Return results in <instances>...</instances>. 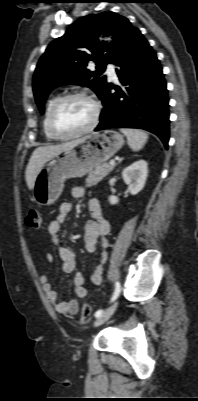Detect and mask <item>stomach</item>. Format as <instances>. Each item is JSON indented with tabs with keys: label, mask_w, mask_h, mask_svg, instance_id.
<instances>
[{
	"label": "stomach",
	"mask_w": 198,
	"mask_h": 401,
	"mask_svg": "<svg viewBox=\"0 0 198 401\" xmlns=\"http://www.w3.org/2000/svg\"><path fill=\"white\" fill-rule=\"evenodd\" d=\"M124 144L115 130L91 133L50 158L39 171L34 184V200L38 205L53 204L61 195L64 181L86 175L94 167L110 159Z\"/></svg>",
	"instance_id": "1"
}]
</instances>
